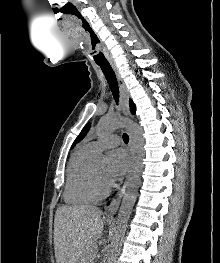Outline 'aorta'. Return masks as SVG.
Here are the masks:
<instances>
[{
    "label": "aorta",
    "mask_w": 220,
    "mask_h": 263,
    "mask_svg": "<svg viewBox=\"0 0 220 263\" xmlns=\"http://www.w3.org/2000/svg\"><path fill=\"white\" fill-rule=\"evenodd\" d=\"M118 128H126L129 132L132 141V165L129 172L126 191L124 193L117 221L113 229L107 263H113L115 260L116 254L119 250L121 238L126 229L127 222L136 201L142 171V159L144 155V139L142 129L138 124L131 120L117 116L103 117L97 125V132L99 135H105ZM96 162L99 164L105 163V156L102 154L98 155L96 157Z\"/></svg>",
    "instance_id": "1"
}]
</instances>
